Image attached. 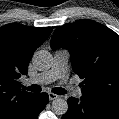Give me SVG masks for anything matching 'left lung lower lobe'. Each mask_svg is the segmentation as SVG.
Here are the masks:
<instances>
[{"label":"left lung lower lobe","mask_w":119,"mask_h":119,"mask_svg":"<svg viewBox=\"0 0 119 119\" xmlns=\"http://www.w3.org/2000/svg\"><path fill=\"white\" fill-rule=\"evenodd\" d=\"M62 119H119V109L81 97L68 99V111Z\"/></svg>","instance_id":"obj_1"}]
</instances>
